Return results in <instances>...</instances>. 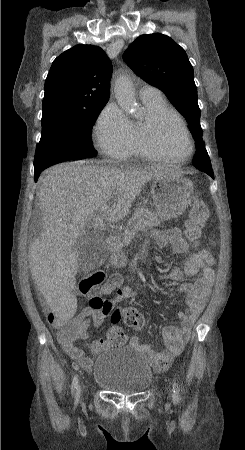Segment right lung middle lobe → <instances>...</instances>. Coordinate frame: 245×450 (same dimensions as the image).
Returning <instances> with one entry per match:
<instances>
[{
    "label": "right lung middle lobe",
    "instance_id": "right-lung-middle-lobe-1",
    "mask_svg": "<svg viewBox=\"0 0 245 450\" xmlns=\"http://www.w3.org/2000/svg\"><path fill=\"white\" fill-rule=\"evenodd\" d=\"M104 106L101 104L89 110L60 106L43 109L42 135L34 158L35 170H43L65 160L94 157L91 126Z\"/></svg>",
    "mask_w": 245,
    "mask_h": 450
}]
</instances>
